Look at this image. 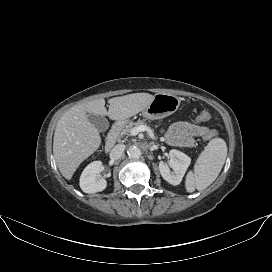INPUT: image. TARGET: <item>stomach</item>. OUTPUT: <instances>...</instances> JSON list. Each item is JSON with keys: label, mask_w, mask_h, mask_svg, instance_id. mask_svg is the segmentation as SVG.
I'll list each match as a JSON object with an SVG mask.
<instances>
[{"label": "stomach", "mask_w": 272, "mask_h": 272, "mask_svg": "<svg viewBox=\"0 0 272 272\" xmlns=\"http://www.w3.org/2000/svg\"><path fill=\"white\" fill-rule=\"evenodd\" d=\"M180 105V99L172 94H155L150 104L142 111L146 119L155 120L165 118L176 112ZM123 123L127 122L125 120Z\"/></svg>", "instance_id": "1"}]
</instances>
